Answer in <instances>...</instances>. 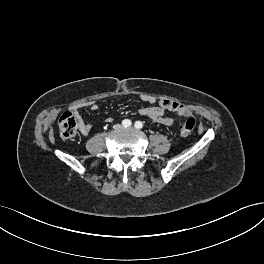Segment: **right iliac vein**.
I'll return each instance as SVG.
<instances>
[{
    "label": "right iliac vein",
    "instance_id": "1",
    "mask_svg": "<svg viewBox=\"0 0 264 264\" xmlns=\"http://www.w3.org/2000/svg\"><path fill=\"white\" fill-rule=\"evenodd\" d=\"M115 130H120L122 128V126L120 124H116L113 127Z\"/></svg>",
    "mask_w": 264,
    "mask_h": 264
}]
</instances>
